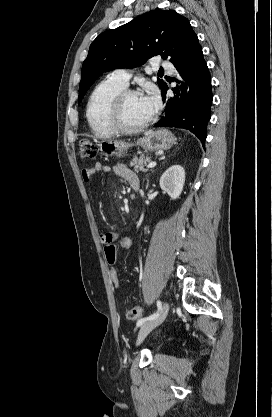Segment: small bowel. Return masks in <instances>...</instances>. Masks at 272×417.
I'll use <instances>...</instances> for the list:
<instances>
[{"label":"small bowel","instance_id":"c3829d8e","mask_svg":"<svg viewBox=\"0 0 272 417\" xmlns=\"http://www.w3.org/2000/svg\"><path fill=\"white\" fill-rule=\"evenodd\" d=\"M113 171L116 175L119 177L125 179L130 184L134 181L139 182L137 175L126 165L124 164H116L113 167H110L107 164L104 163H96L93 166L87 167L83 169L82 171V177L84 181H89L93 175H95L98 172H111ZM119 235L115 232H104L101 234L100 238L102 243L107 244L111 240L115 239Z\"/></svg>","mask_w":272,"mask_h":417}]
</instances>
